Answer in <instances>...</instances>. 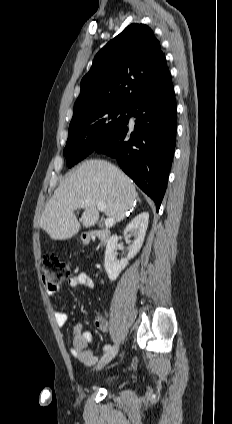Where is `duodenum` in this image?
Returning a JSON list of instances; mask_svg holds the SVG:
<instances>
[{
  "mask_svg": "<svg viewBox=\"0 0 232 424\" xmlns=\"http://www.w3.org/2000/svg\"><path fill=\"white\" fill-rule=\"evenodd\" d=\"M110 231L108 230H97L90 233L87 237L88 240L97 239L100 245H105L110 238Z\"/></svg>",
  "mask_w": 232,
  "mask_h": 424,
  "instance_id": "duodenum-1",
  "label": "duodenum"
}]
</instances>
